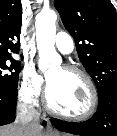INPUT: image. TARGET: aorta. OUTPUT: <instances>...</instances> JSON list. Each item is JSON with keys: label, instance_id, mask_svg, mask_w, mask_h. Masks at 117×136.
<instances>
[{"label": "aorta", "instance_id": "obj_1", "mask_svg": "<svg viewBox=\"0 0 117 136\" xmlns=\"http://www.w3.org/2000/svg\"><path fill=\"white\" fill-rule=\"evenodd\" d=\"M57 15L53 10L43 11L36 17V41L39 50V68L46 72L61 64V57L56 52L55 35Z\"/></svg>", "mask_w": 117, "mask_h": 136}]
</instances>
